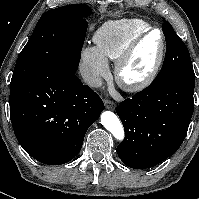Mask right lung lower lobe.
I'll use <instances>...</instances> for the list:
<instances>
[{
    "mask_svg": "<svg viewBox=\"0 0 199 199\" xmlns=\"http://www.w3.org/2000/svg\"><path fill=\"white\" fill-rule=\"evenodd\" d=\"M104 104L76 72L60 65L43 68L10 87L15 136L34 159L48 165L72 160Z\"/></svg>",
    "mask_w": 199,
    "mask_h": 199,
    "instance_id": "98d812e1",
    "label": "right lung lower lobe"
}]
</instances>
